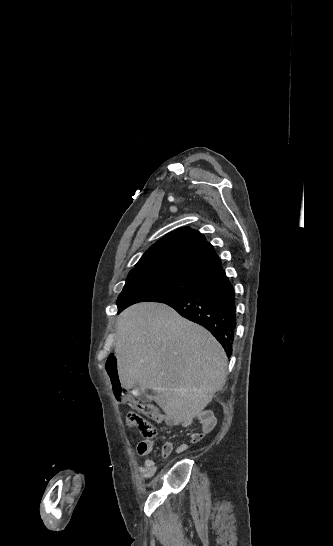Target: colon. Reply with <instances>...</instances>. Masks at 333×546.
<instances>
[{
    "mask_svg": "<svg viewBox=\"0 0 333 546\" xmlns=\"http://www.w3.org/2000/svg\"><path fill=\"white\" fill-rule=\"evenodd\" d=\"M105 369L111 380L117 400L134 410L130 411L126 416L127 427H136L145 438L155 437L157 434L156 428L143 415L152 417L156 414V408L152 404L130 397L128 392L121 387L118 375V359L115 355L110 354L106 358Z\"/></svg>",
    "mask_w": 333,
    "mask_h": 546,
    "instance_id": "obj_1",
    "label": "colon"
}]
</instances>
